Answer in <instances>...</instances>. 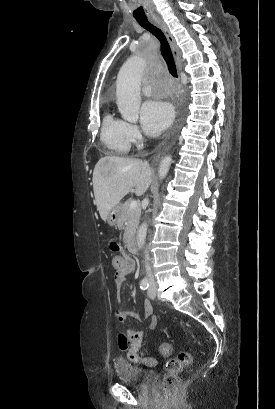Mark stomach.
<instances>
[{"label": "stomach", "instance_id": "obj_1", "mask_svg": "<svg viewBox=\"0 0 275 409\" xmlns=\"http://www.w3.org/2000/svg\"><path fill=\"white\" fill-rule=\"evenodd\" d=\"M121 211L122 205H120V202H118V205H116V207H113V209L109 211L107 215V223L108 225H110V227H116L120 219Z\"/></svg>", "mask_w": 275, "mask_h": 409}]
</instances>
